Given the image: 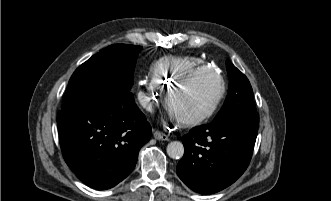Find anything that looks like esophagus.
Wrapping results in <instances>:
<instances>
[{
	"instance_id": "34e87169",
	"label": "esophagus",
	"mask_w": 331,
	"mask_h": 201,
	"mask_svg": "<svg viewBox=\"0 0 331 201\" xmlns=\"http://www.w3.org/2000/svg\"><path fill=\"white\" fill-rule=\"evenodd\" d=\"M153 136L156 140H161V141H167L168 140V136L160 131H155L153 133Z\"/></svg>"
}]
</instances>
